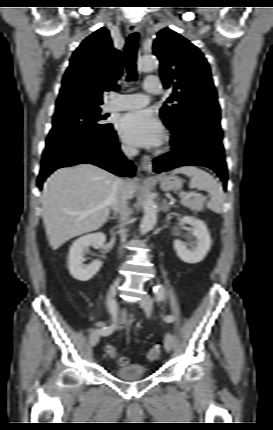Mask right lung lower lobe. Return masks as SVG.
<instances>
[{
	"label": "right lung lower lobe",
	"mask_w": 273,
	"mask_h": 430,
	"mask_svg": "<svg viewBox=\"0 0 273 430\" xmlns=\"http://www.w3.org/2000/svg\"><path fill=\"white\" fill-rule=\"evenodd\" d=\"M80 163H91L119 176H134V166L120 151L115 131L93 138L45 150L38 178V187L54 170Z\"/></svg>",
	"instance_id": "obj_1"
}]
</instances>
